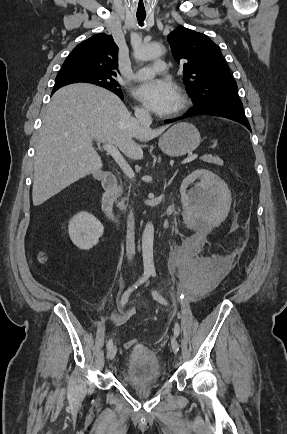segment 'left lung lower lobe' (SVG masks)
<instances>
[{"instance_id": "1", "label": "left lung lower lobe", "mask_w": 287, "mask_h": 434, "mask_svg": "<svg viewBox=\"0 0 287 434\" xmlns=\"http://www.w3.org/2000/svg\"><path fill=\"white\" fill-rule=\"evenodd\" d=\"M196 115H213V116H219L228 118L231 120H234L236 122H239L246 126L250 131V124L245 116L243 106L238 105H221L217 107H206V106H197L191 108L185 115L182 117L172 119V120H166V123H172L174 121L190 117V116H196Z\"/></svg>"}]
</instances>
